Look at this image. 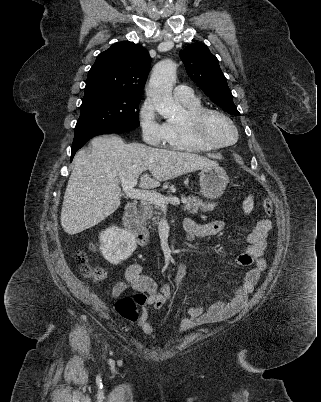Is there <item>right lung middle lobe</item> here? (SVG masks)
<instances>
[{
  "label": "right lung middle lobe",
  "mask_w": 321,
  "mask_h": 402,
  "mask_svg": "<svg viewBox=\"0 0 321 402\" xmlns=\"http://www.w3.org/2000/svg\"><path fill=\"white\" fill-rule=\"evenodd\" d=\"M140 101L141 97L107 90H85L75 130L113 125H125L134 129L139 126Z\"/></svg>",
  "instance_id": "right-lung-middle-lobe-1"
}]
</instances>
